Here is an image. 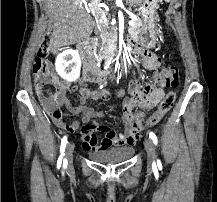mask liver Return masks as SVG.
<instances>
[{"instance_id":"6515ba94","label":"liver","mask_w":217,"mask_h":202,"mask_svg":"<svg viewBox=\"0 0 217 202\" xmlns=\"http://www.w3.org/2000/svg\"><path fill=\"white\" fill-rule=\"evenodd\" d=\"M47 14L54 22L51 38L53 46H71L89 40L95 22L87 8L91 0H44ZM139 6L142 0H126Z\"/></svg>"}]
</instances>
